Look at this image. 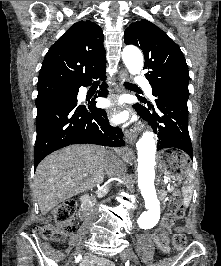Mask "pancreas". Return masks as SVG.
Returning a JSON list of instances; mask_svg holds the SVG:
<instances>
[{
	"label": "pancreas",
	"instance_id": "obj_1",
	"mask_svg": "<svg viewBox=\"0 0 221 266\" xmlns=\"http://www.w3.org/2000/svg\"><path fill=\"white\" fill-rule=\"evenodd\" d=\"M173 190H174V187H173V186H171V187L168 189L169 192H172Z\"/></svg>",
	"mask_w": 221,
	"mask_h": 266
}]
</instances>
